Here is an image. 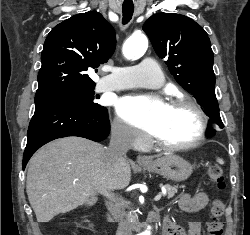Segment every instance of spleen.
Returning <instances> with one entry per match:
<instances>
[{
	"label": "spleen",
	"instance_id": "spleen-1",
	"mask_svg": "<svg viewBox=\"0 0 250 235\" xmlns=\"http://www.w3.org/2000/svg\"><path fill=\"white\" fill-rule=\"evenodd\" d=\"M218 162H219L220 164H223V163H224V161H223L222 159H218Z\"/></svg>",
	"mask_w": 250,
	"mask_h": 235
}]
</instances>
